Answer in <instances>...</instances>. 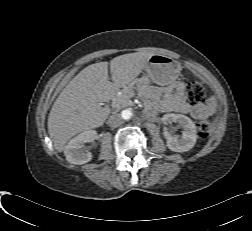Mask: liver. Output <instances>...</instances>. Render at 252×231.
<instances>
[{
	"label": "liver",
	"mask_w": 252,
	"mask_h": 231,
	"mask_svg": "<svg viewBox=\"0 0 252 231\" xmlns=\"http://www.w3.org/2000/svg\"><path fill=\"white\" fill-rule=\"evenodd\" d=\"M152 55L135 52L113 58L112 82L108 79V62L91 64L80 71L51 108L47 124L54 148L62 152L73 136L102 126L110 110L101 107V103L109 102L121 88L130 90Z\"/></svg>",
	"instance_id": "1"
}]
</instances>
